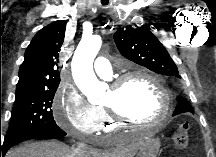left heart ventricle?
I'll return each mask as SVG.
<instances>
[{
	"mask_svg": "<svg viewBox=\"0 0 216 157\" xmlns=\"http://www.w3.org/2000/svg\"><path fill=\"white\" fill-rule=\"evenodd\" d=\"M104 103L115 104L124 115L140 121L154 120L162 109L159 91L142 78L128 80L116 95L109 90Z\"/></svg>",
	"mask_w": 216,
	"mask_h": 157,
	"instance_id": "left-heart-ventricle-1",
	"label": "left heart ventricle"
}]
</instances>
